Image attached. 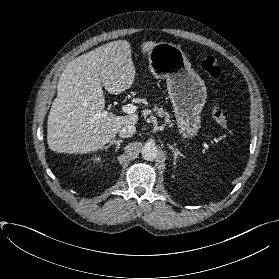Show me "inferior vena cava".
<instances>
[{
    "mask_svg": "<svg viewBox=\"0 0 279 279\" xmlns=\"http://www.w3.org/2000/svg\"><path fill=\"white\" fill-rule=\"evenodd\" d=\"M136 133V127L133 125H126L119 130L121 138H129Z\"/></svg>",
    "mask_w": 279,
    "mask_h": 279,
    "instance_id": "1",
    "label": "inferior vena cava"
}]
</instances>
